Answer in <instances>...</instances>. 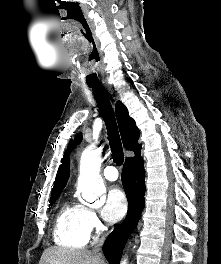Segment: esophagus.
Listing matches in <instances>:
<instances>
[{"label": "esophagus", "mask_w": 221, "mask_h": 264, "mask_svg": "<svg viewBox=\"0 0 221 264\" xmlns=\"http://www.w3.org/2000/svg\"><path fill=\"white\" fill-rule=\"evenodd\" d=\"M107 89L111 91V89H110V87H109V86H107Z\"/></svg>", "instance_id": "esophagus-1"}]
</instances>
